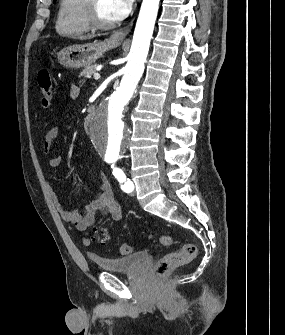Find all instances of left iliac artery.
I'll return each mask as SVG.
<instances>
[{"label":"left iliac artery","instance_id":"obj_1","mask_svg":"<svg viewBox=\"0 0 285 335\" xmlns=\"http://www.w3.org/2000/svg\"><path fill=\"white\" fill-rule=\"evenodd\" d=\"M114 163L115 160L112 161L111 165V167L113 168V174L120 183H124L123 185H121V189L126 193L132 192L134 189L133 183L130 181V179L126 178V175L120 168L115 167Z\"/></svg>","mask_w":285,"mask_h":335}]
</instances>
